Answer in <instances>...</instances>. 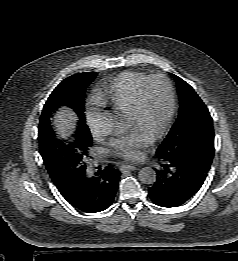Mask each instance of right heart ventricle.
Here are the masks:
<instances>
[{
  "label": "right heart ventricle",
  "mask_w": 238,
  "mask_h": 261,
  "mask_svg": "<svg viewBox=\"0 0 238 261\" xmlns=\"http://www.w3.org/2000/svg\"><path fill=\"white\" fill-rule=\"evenodd\" d=\"M147 77L146 73L139 71L121 73L98 94L96 103L129 111L135 102L138 88Z\"/></svg>",
  "instance_id": "e07e8e85"
}]
</instances>
